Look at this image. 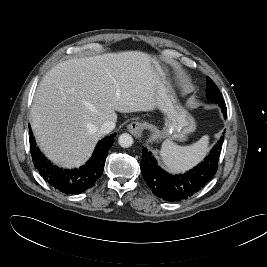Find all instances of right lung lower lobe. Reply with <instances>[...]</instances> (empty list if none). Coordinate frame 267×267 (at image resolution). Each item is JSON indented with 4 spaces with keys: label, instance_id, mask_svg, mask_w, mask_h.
I'll use <instances>...</instances> for the list:
<instances>
[{
    "label": "right lung lower lobe",
    "instance_id": "right-lung-lower-lobe-1",
    "mask_svg": "<svg viewBox=\"0 0 267 267\" xmlns=\"http://www.w3.org/2000/svg\"><path fill=\"white\" fill-rule=\"evenodd\" d=\"M116 134L99 141L90 160L79 169H62L48 161L36 147L31 134V153L34 166L41 176L57 190L67 194H78L91 188L102 175L108 150Z\"/></svg>",
    "mask_w": 267,
    "mask_h": 267
}]
</instances>
